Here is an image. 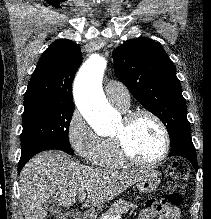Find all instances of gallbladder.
<instances>
[{"label":"gallbladder","mask_w":211,"mask_h":219,"mask_svg":"<svg viewBox=\"0 0 211 219\" xmlns=\"http://www.w3.org/2000/svg\"><path fill=\"white\" fill-rule=\"evenodd\" d=\"M43 207L46 212L52 213V214H60L62 211V206L59 204V202L53 198H48L44 204Z\"/></svg>","instance_id":"obj_1"}]
</instances>
